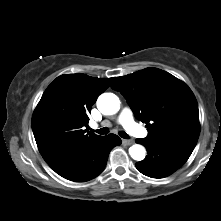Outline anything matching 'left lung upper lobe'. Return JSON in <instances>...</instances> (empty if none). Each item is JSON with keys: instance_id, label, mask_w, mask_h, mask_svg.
Returning <instances> with one entry per match:
<instances>
[{"instance_id": "5c2ea615", "label": "left lung upper lobe", "mask_w": 221, "mask_h": 221, "mask_svg": "<svg viewBox=\"0 0 221 221\" xmlns=\"http://www.w3.org/2000/svg\"><path fill=\"white\" fill-rule=\"evenodd\" d=\"M126 98L135 117L147 125L152 141L198 139V104L181 80L157 68H146L120 76L112 85Z\"/></svg>"}]
</instances>
